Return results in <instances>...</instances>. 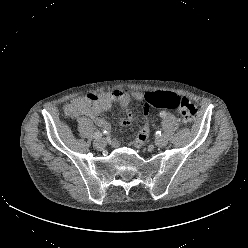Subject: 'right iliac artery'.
Instances as JSON below:
<instances>
[{
    "label": "right iliac artery",
    "mask_w": 248,
    "mask_h": 248,
    "mask_svg": "<svg viewBox=\"0 0 248 248\" xmlns=\"http://www.w3.org/2000/svg\"><path fill=\"white\" fill-rule=\"evenodd\" d=\"M102 134L100 132H95L94 137L97 138H101Z\"/></svg>",
    "instance_id": "right-iliac-artery-1"
}]
</instances>
